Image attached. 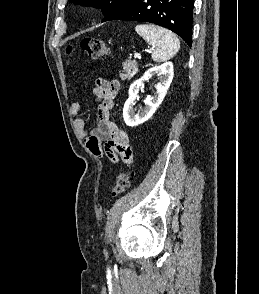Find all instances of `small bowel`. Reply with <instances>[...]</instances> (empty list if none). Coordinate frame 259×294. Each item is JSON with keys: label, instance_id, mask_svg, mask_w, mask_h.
Here are the masks:
<instances>
[{"label": "small bowel", "instance_id": "small-bowel-1", "mask_svg": "<svg viewBox=\"0 0 259 294\" xmlns=\"http://www.w3.org/2000/svg\"><path fill=\"white\" fill-rule=\"evenodd\" d=\"M119 89L120 83L116 80L98 79L92 89V95L100 100L96 126L88 131L85 121L76 118L73 121V128L76 134L84 139L87 148L95 156L102 157L105 153L114 163L121 159L124 163L129 164L132 162L133 153L128 134L110 119V112L115 107V98ZM80 109V104L74 102L71 104L69 111L71 115L77 116ZM102 142H105L104 147Z\"/></svg>", "mask_w": 259, "mask_h": 294}]
</instances>
